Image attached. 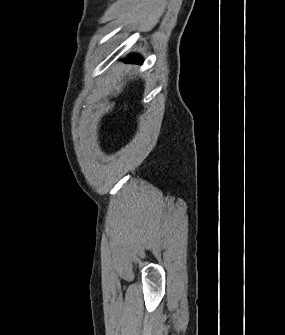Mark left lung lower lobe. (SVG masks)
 Segmentation results:
<instances>
[{"label": "left lung lower lobe", "instance_id": "obj_1", "mask_svg": "<svg viewBox=\"0 0 285 335\" xmlns=\"http://www.w3.org/2000/svg\"><path fill=\"white\" fill-rule=\"evenodd\" d=\"M125 62H129V63H139L141 64L142 63V59L139 58L137 55L133 54V55H130L129 57H127L125 60Z\"/></svg>", "mask_w": 285, "mask_h": 335}]
</instances>
